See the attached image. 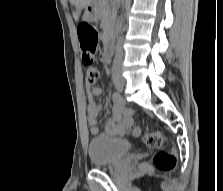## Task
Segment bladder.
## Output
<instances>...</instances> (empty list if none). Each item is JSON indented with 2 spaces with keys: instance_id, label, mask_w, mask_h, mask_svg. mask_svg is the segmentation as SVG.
Listing matches in <instances>:
<instances>
[{
  "instance_id": "31cf9c89",
  "label": "bladder",
  "mask_w": 223,
  "mask_h": 191,
  "mask_svg": "<svg viewBox=\"0 0 223 191\" xmlns=\"http://www.w3.org/2000/svg\"><path fill=\"white\" fill-rule=\"evenodd\" d=\"M130 151V142L122 138L96 137L88 144V155L95 166L113 165L125 158Z\"/></svg>"
}]
</instances>
